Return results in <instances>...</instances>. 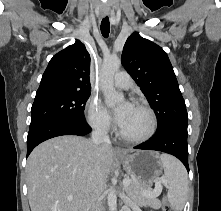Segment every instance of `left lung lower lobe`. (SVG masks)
<instances>
[{"mask_svg": "<svg viewBox=\"0 0 221 211\" xmlns=\"http://www.w3.org/2000/svg\"><path fill=\"white\" fill-rule=\"evenodd\" d=\"M134 148L162 151L174 155L189 172L186 121L175 122L158 130L151 139Z\"/></svg>", "mask_w": 221, "mask_h": 211, "instance_id": "left-lung-lower-lobe-1", "label": "left lung lower lobe"}]
</instances>
